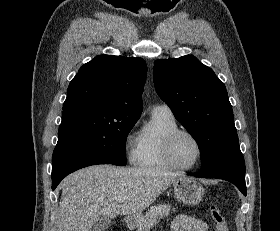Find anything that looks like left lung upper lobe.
<instances>
[{
	"instance_id": "1",
	"label": "left lung upper lobe",
	"mask_w": 280,
	"mask_h": 231,
	"mask_svg": "<svg viewBox=\"0 0 280 231\" xmlns=\"http://www.w3.org/2000/svg\"><path fill=\"white\" fill-rule=\"evenodd\" d=\"M154 85L198 144L202 168L240 150L224 83L194 56L155 61Z\"/></svg>"
}]
</instances>
